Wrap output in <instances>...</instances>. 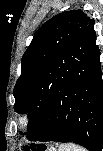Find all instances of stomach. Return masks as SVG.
<instances>
[{"instance_id":"stomach-1","label":"stomach","mask_w":103,"mask_h":151,"mask_svg":"<svg viewBox=\"0 0 103 151\" xmlns=\"http://www.w3.org/2000/svg\"><path fill=\"white\" fill-rule=\"evenodd\" d=\"M47 151H53L52 149H48Z\"/></svg>"}]
</instances>
